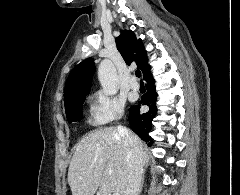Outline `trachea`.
I'll return each instance as SVG.
<instances>
[{"label":"trachea","mask_w":240,"mask_h":195,"mask_svg":"<svg viewBox=\"0 0 240 195\" xmlns=\"http://www.w3.org/2000/svg\"><path fill=\"white\" fill-rule=\"evenodd\" d=\"M135 75H136V77L140 78L141 77V71L140 70H136ZM140 84H143L142 80L140 81Z\"/></svg>","instance_id":"obj_1"}]
</instances>
